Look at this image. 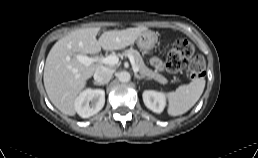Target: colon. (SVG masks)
<instances>
[{
    "instance_id": "colon-1",
    "label": "colon",
    "mask_w": 258,
    "mask_h": 158,
    "mask_svg": "<svg viewBox=\"0 0 258 158\" xmlns=\"http://www.w3.org/2000/svg\"><path fill=\"white\" fill-rule=\"evenodd\" d=\"M166 67L170 72L185 70L189 77L196 78L202 75L204 59L195 54L194 46L188 40H178L168 52Z\"/></svg>"
}]
</instances>
